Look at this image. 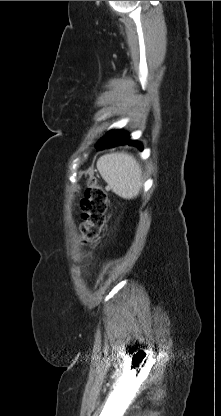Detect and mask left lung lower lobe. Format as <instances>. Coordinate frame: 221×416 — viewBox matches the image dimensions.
Wrapping results in <instances>:
<instances>
[{
	"label": "left lung lower lobe",
	"mask_w": 221,
	"mask_h": 416,
	"mask_svg": "<svg viewBox=\"0 0 221 416\" xmlns=\"http://www.w3.org/2000/svg\"><path fill=\"white\" fill-rule=\"evenodd\" d=\"M124 144L133 145L142 150V145L137 141L130 140L128 135L117 138L115 140L103 141V142L99 141L96 145V148L98 150H102L105 148L115 147V146L124 145Z\"/></svg>",
	"instance_id": "1"
}]
</instances>
